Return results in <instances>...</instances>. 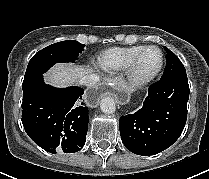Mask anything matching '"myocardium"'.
<instances>
[{"label": "myocardium", "instance_id": "myocardium-1", "mask_svg": "<svg viewBox=\"0 0 209 179\" xmlns=\"http://www.w3.org/2000/svg\"><path fill=\"white\" fill-rule=\"evenodd\" d=\"M157 49L161 56V61L159 67L153 73L146 76H139L137 74V64L143 55V53L149 49ZM165 63V56L162 49L156 45H147L144 46L140 51H138L134 57L129 62L127 68L125 69V75L129 86L133 89H141L149 85L152 81H154L158 75L161 73Z\"/></svg>", "mask_w": 209, "mask_h": 179}]
</instances>
